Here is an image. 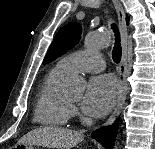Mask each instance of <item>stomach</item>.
<instances>
[{
    "instance_id": "stomach-1",
    "label": "stomach",
    "mask_w": 155,
    "mask_h": 149,
    "mask_svg": "<svg viewBox=\"0 0 155 149\" xmlns=\"http://www.w3.org/2000/svg\"><path fill=\"white\" fill-rule=\"evenodd\" d=\"M14 148L15 149H35L32 144H28V143L17 144Z\"/></svg>"
}]
</instances>
